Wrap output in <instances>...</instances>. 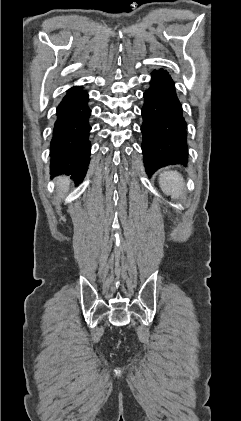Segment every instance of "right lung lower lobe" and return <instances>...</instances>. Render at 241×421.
Listing matches in <instances>:
<instances>
[{"mask_svg":"<svg viewBox=\"0 0 241 421\" xmlns=\"http://www.w3.org/2000/svg\"><path fill=\"white\" fill-rule=\"evenodd\" d=\"M88 94L81 87L68 90L57 107L50 144L51 174H66L81 182L90 158Z\"/></svg>","mask_w":241,"mask_h":421,"instance_id":"98d812e1","label":"right lung lower lobe"}]
</instances>
